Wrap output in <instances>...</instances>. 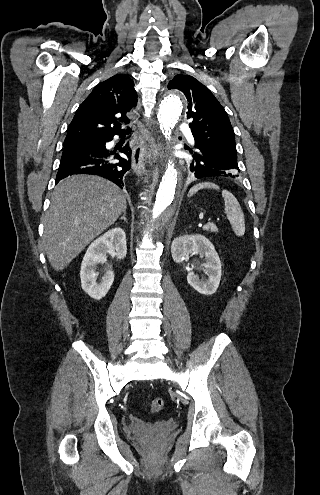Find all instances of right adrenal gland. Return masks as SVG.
Masks as SVG:
<instances>
[{
    "label": "right adrenal gland",
    "instance_id": "right-adrenal-gland-1",
    "mask_svg": "<svg viewBox=\"0 0 320 495\" xmlns=\"http://www.w3.org/2000/svg\"><path fill=\"white\" fill-rule=\"evenodd\" d=\"M120 220H124L125 222H127V218H126V210L123 211V216L120 217Z\"/></svg>",
    "mask_w": 320,
    "mask_h": 495
}]
</instances>
